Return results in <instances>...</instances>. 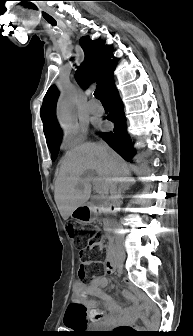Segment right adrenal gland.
Instances as JSON below:
<instances>
[{
	"instance_id": "1",
	"label": "right adrenal gland",
	"mask_w": 193,
	"mask_h": 336,
	"mask_svg": "<svg viewBox=\"0 0 193 336\" xmlns=\"http://www.w3.org/2000/svg\"><path fill=\"white\" fill-rule=\"evenodd\" d=\"M135 183V180H131L130 182H128L126 185H122L121 189L128 190L130 188L131 185H133ZM121 189H120V193H121Z\"/></svg>"
}]
</instances>
